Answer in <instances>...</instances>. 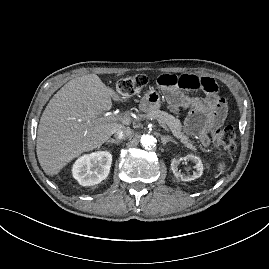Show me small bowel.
<instances>
[{"instance_id": "c3829d8e", "label": "small bowel", "mask_w": 269, "mask_h": 269, "mask_svg": "<svg viewBox=\"0 0 269 269\" xmlns=\"http://www.w3.org/2000/svg\"><path fill=\"white\" fill-rule=\"evenodd\" d=\"M157 85L165 90L179 88L203 89L205 98H191L174 90L169 95L170 104L176 108L180 105L191 106V112L185 122L186 131L196 134L202 146H208L210 131L221 125L227 118V105L220 97L218 85L212 76L163 74L157 78Z\"/></svg>"}]
</instances>
